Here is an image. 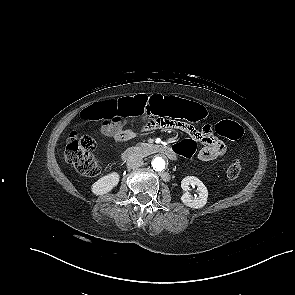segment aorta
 <instances>
[{
	"label": "aorta",
	"mask_w": 295,
	"mask_h": 295,
	"mask_svg": "<svg viewBox=\"0 0 295 295\" xmlns=\"http://www.w3.org/2000/svg\"><path fill=\"white\" fill-rule=\"evenodd\" d=\"M151 165H152V168L158 172H161L166 168V162L160 156H156L155 158H153Z\"/></svg>",
	"instance_id": "762f6f07"
}]
</instances>
